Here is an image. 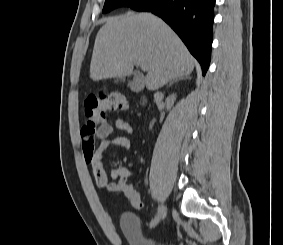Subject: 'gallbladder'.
Here are the masks:
<instances>
[{
  "instance_id": "obj_1",
  "label": "gallbladder",
  "mask_w": 283,
  "mask_h": 245,
  "mask_svg": "<svg viewBox=\"0 0 283 245\" xmlns=\"http://www.w3.org/2000/svg\"><path fill=\"white\" fill-rule=\"evenodd\" d=\"M129 86L132 90L134 91H139L142 89V84L138 83L136 79H133L130 83Z\"/></svg>"
}]
</instances>
